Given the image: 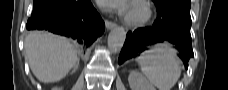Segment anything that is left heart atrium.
<instances>
[{"instance_id":"obj_1","label":"left heart atrium","mask_w":228,"mask_h":90,"mask_svg":"<svg viewBox=\"0 0 228 90\" xmlns=\"http://www.w3.org/2000/svg\"><path fill=\"white\" fill-rule=\"evenodd\" d=\"M118 9L120 11V13L122 14H127L128 13V10H129V7L127 6L126 3H122L118 6Z\"/></svg>"}]
</instances>
